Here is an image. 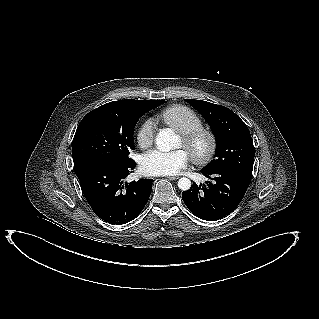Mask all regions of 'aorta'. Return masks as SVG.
Returning <instances> with one entry per match:
<instances>
[{
  "label": "aorta",
  "instance_id": "obj_1",
  "mask_svg": "<svg viewBox=\"0 0 319 319\" xmlns=\"http://www.w3.org/2000/svg\"><path fill=\"white\" fill-rule=\"evenodd\" d=\"M156 145L160 151H170L178 145L177 136L171 129H163L156 136ZM178 187L182 191L189 190L191 181L186 177H182L178 180Z\"/></svg>",
  "mask_w": 319,
  "mask_h": 319
}]
</instances>
